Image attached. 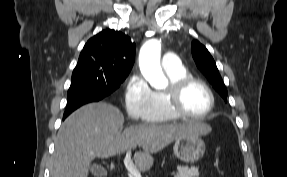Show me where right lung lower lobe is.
<instances>
[{
    "instance_id": "obj_1",
    "label": "right lung lower lobe",
    "mask_w": 287,
    "mask_h": 177,
    "mask_svg": "<svg viewBox=\"0 0 287 177\" xmlns=\"http://www.w3.org/2000/svg\"><path fill=\"white\" fill-rule=\"evenodd\" d=\"M106 96L108 95H106L105 92L96 90H82L68 94V102L63 119L80 106L90 102L100 101Z\"/></svg>"
}]
</instances>
